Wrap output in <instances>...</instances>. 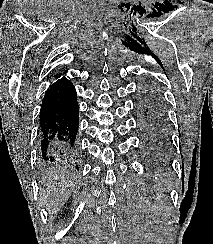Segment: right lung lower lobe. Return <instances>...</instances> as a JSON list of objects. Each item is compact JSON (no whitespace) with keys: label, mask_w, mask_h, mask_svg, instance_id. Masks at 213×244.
<instances>
[{"label":"right lung lower lobe","mask_w":213,"mask_h":244,"mask_svg":"<svg viewBox=\"0 0 213 244\" xmlns=\"http://www.w3.org/2000/svg\"><path fill=\"white\" fill-rule=\"evenodd\" d=\"M79 107L76 90L65 76L46 91L40 110L42 158L68 162L79 154Z\"/></svg>","instance_id":"right-lung-lower-lobe-1"}]
</instances>
